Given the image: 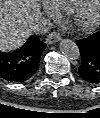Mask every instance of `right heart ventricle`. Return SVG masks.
<instances>
[{
	"label": "right heart ventricle",
	"mask_w": 100,
	"mask_h": 118,
	"mask_svg": "<svg viewBox=\"0 0 100 118\" xmlns=\"http://www.w3.org/2000/svg\"><path fill=\"white\" fill-rule=\"evenodd\" d=\"M58 12L72 13L87 0H49Z\"/></svg>",
	"instance_id": "obj_1"
}]
</instances>
